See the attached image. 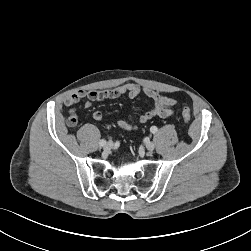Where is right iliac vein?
<instances>
[{"mask_svg": "<svg viewBox=\"0 0 251 251\" xmlns=\"http://www.w3.org/2000/svg\"><path fill=\"white\" fill-rule=\"evenodd\" d=\"M112 147H113V143L112 142H108V143L105 144L104 150L105 151H110L112 149Z\"/></svg>", "mask_w": 251, "mask_h": 251, "instance_id": "right-iliac-vein-1", "label": "right iliac vein"}]
</instances>
